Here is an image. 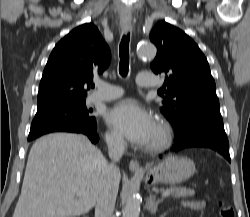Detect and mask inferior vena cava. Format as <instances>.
Masks as SVG:
<instances>
[{
	"mask_svg": "<svg viewBox=\"0 0 250 217\" xmlns=\"http://www.w3.org/2000/svg\"><path fill=\"white\" fill-rule=\"evenodd\" d=\"M109 157L112 163L102 169V180L98 190L95 217H114L116 197L120 181V170L116 165L125 152L126 142L119 134L106 137Z\"/></svg>",
	"mask_w": 250,
	"mask_h": 217,
	"instance_id": "inferior-vena-cava-1",
	"label": "inferior vena cava"
}]
</instances>
